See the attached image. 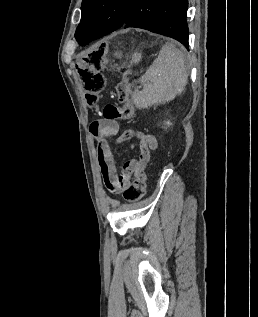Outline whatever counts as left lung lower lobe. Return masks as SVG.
<instances>
[{
    "label": "left lung lower lobe",
    "mask_w": 258,
    "mask_h": 317,
    "mask_svg": "<svg viewBox=\"0 0 258 317\" xmlns=\"http://www.w3.org/2000/svg\"><path fill=\"white\" fill-rule=\"evenodd\" d=\"M187 9L188 0H133L121 27L141 28L171 37L189 49ZM117 29L98 27L85 35L79 43L86 45Z\"/></svg>",
    "instance_id": "obj_1"
}]
</instances>
